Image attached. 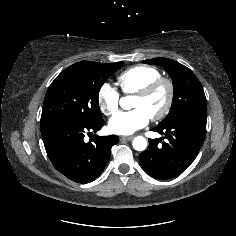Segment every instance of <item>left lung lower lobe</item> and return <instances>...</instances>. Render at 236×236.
Returning a JSON list of instances; mask_svg holds the SVG:
<instances>
[{"instance_id":"0a47b994","label":"left lung lower lobe","mask_w":236,"mask_h":236,"mask_svg":"<svg viewBox=\"0 0 236 236\" xmlns=\"http://www.w3.org/2000/svg\"><path fill=\"white\" fill-rule=\"evenodd\" d=\"M206 111L189 113L153 131L164 135L148 139V148L139 155L142 168L157 179H170L182 173L195 159L206 136ZM166 138L164 142L162 139ZM161 142L162 144H159Z\"/></svg>"}]
</instances>
